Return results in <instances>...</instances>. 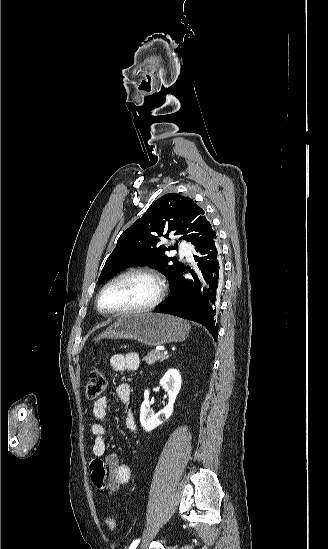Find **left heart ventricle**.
<instances>
[{"instance_id":"left-heart-ventricle-1","label":"left heart ventricle","mask_w":328,"mask_h":549,"mask_svg":"<svg viewBox=\"0 0 328 549\" xmlns=\"http://www.w3.org/2000/svg\"><path fill=\"white\" fill-rule=\"evenodd\" d=\"M156 293V284L148 276L131 273L113 284L103 296V306L124 310L148 303Z\"/></svg>"}]
</instances>
